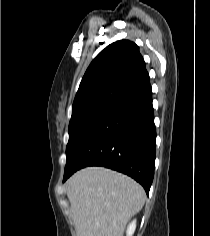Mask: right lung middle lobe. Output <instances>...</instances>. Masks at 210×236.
<instances>
[{"mask_svg":"<svg viewBox=\"0 0 210 236\" xmlns=\"http://www.w3.org/2000/svg\"><path fill=\"white\" fill-rule=\"evenodd\" d=\"M129 92L126 89L117 88L72 107L69 141L66 147L67 163L91 129Z\"/></svg>","mask_w":210,"mask_h":236,"instance_id":"obj_1","label":"right lung middle lobe"}]
</instances>
